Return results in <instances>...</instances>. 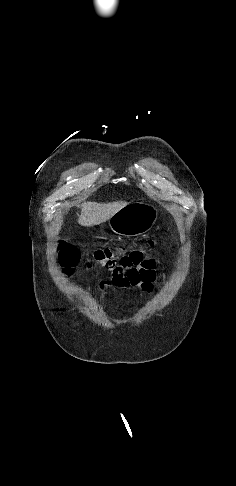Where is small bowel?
<instances>
[{"mask_svg": "<svg viewBox=\"0 0 236 486\" xmlns=\"http://www.w3.org/2000/svg\"><path fill=\"white\" fill-rule=\"evenodd\" d=\"M156 278L155 261L143 259L141 253H135L114 269L111 279L101 282L100 289L105 293L107 290L118 291L129 287H140L144 292L151 293Z\"/></svg>", "mask_w": 236, "mask_h": 486, "instance_id": "small-bowel-1", "label": "small bowel"}]
</instances>
